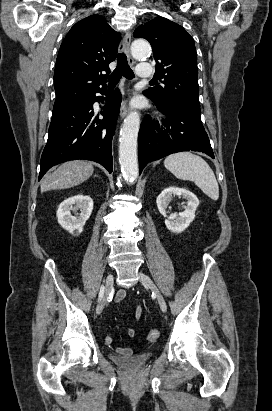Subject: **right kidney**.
<instances>
[{
  "label": "right kidney",
  "mask_w": 272,
  "mask_h": 411,
  "mask_svg": "<svg viewBox=\"0 0 272 411\" xmlns=\"http://www.w3.org/2000/svg\"><path fill=\"white\" fill-rule=\"evenodd\" d=\"M80 210V214L76 213ZM93 200L87 196L78 194L65 199L58 207V223L72 235L78 236L83 231L86 221L91 216ZM74 212L75 216L71 214Z\"/></svg>",
  "instance_id": "1"
}]
</instances>
